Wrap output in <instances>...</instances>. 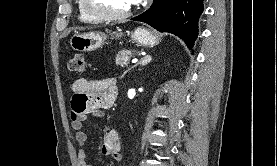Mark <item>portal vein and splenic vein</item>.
<instances>
[{"label":"portal vein and splenic vein","mask_w":277,"mask_h":166,"mask_svg":"<svg viewBox=\"0 0 277 166\" xmlns=\"http://www.w3.org/2000/svg\"><path fill=\"white\" fill-rule=\"evenodd\" d=\"M138 61L137 58L132 59V63H136Z\"/></svg>","instance_id":"portal-vein-and-splenic-vein-1"}]
</instances>
